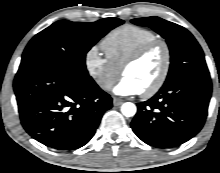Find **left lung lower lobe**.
<instances>
[{
	"instance_id": "1",
	"label": "left lung lower lobe",
	"mask_w": 220,
	"mask_h": 173,
	"mask_svg": "<svg viewBox=\"0 0 220 173\" xmlns=\"http://www.w3.org/2000/svg\"><path fill=\"white\" fill-rule=\"evenodd\" d=\"M211 92L210 78L188 79L162 87L150 100L137 104L131 127L148 145L179 146L203 127Z\"/></svg>"
}]
</instances>
